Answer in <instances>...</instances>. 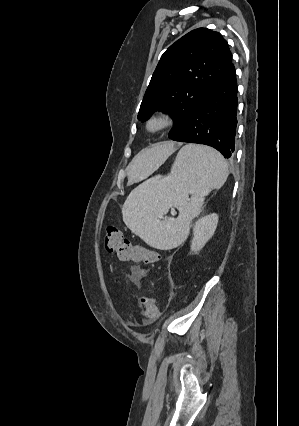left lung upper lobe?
Returning a JSON list of instances; mask_svg holds the SVG:
<instances>
[{"instance_id":"5c2ea615","label":"left lung upper lobe","mask_w":299,"mask_h":426,"mask_svg":"<svg viewBox=\"0 0 299 426\" xmlns=\"http://www.w3.org/2000/svg\"><path fill=\"white\" fill-rule=\"evenodd\" d=\"M227 41L218 32L198 28L184 35L161 56L145 92L138 119L156 110L168 112L174 137L198 104L217 85L232 63Z\"/></svg>"}]
</instances>
